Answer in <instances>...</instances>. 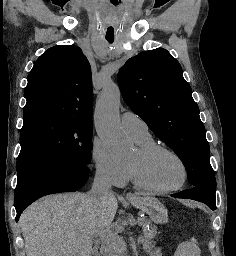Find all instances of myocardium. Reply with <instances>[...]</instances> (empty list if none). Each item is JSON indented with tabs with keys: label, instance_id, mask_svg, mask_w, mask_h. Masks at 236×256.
<instances>
[{
	"label": "myocardium",
	"instance_id": "obj_1",
	"mask_svg": "<svg viewBox=\"0 0 236 256\" xmlns=\"http://www.w3.org/2000/svg\"><path fill=\"white\" fill-rule=\"evenodd\" d=\"M137 155L138 159L134 163H128L129 169L131 171V175L133 178L134 183L140 187L141 189L152 192V193H169V192H174L182 188L188 179L189 171L187 164L185 160L182 158V156L177 153L175 150L166 147L164 145L160 144H150L146 146H140L137 148ZM159 152H166L171 155H173L181 164L183 168V177L182 180L179 184L172 186V187H157L153 184H151L144 173L143 165L144 162L152 155H155Z\"/></svg>",
	"mask_w": 236,
	"mask_h": 256
}]
</instances>
